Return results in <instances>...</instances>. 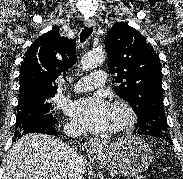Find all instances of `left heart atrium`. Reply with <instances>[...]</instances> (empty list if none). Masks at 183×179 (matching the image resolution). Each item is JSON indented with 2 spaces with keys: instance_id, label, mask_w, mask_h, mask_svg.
<instances>
[{
  "instance_id": "obj_1",
  "label": "left heart atrium",
  "mask_w": 183,
  "mask_h": 179,
  "mask_svg": "<svg viewBox=\"0 0 183 179\" xmlns=\"http://www.w3.org/2000/svg\"><path fill=\"white\" fill-rule=\"evenodd\" d=\"M69 113L88 131L99 133L109 127L110 107L100 95L75 101Z\"/></svg>"
}]
</instances>
